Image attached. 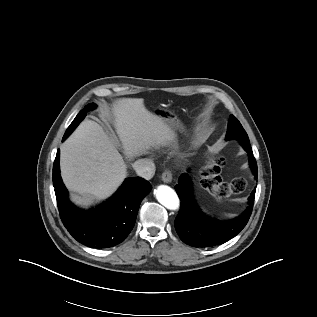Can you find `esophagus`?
Instances as JSON below:
<instances>
[{
  "label": "esophagus",
  "instance_id": "obj_1",
  "mask_svg": "<svg viewBox=\"0 0 317 317\" xmlns=\"http://www.w3.org/2000/svg\"><path fill=\"white\" fill-rule=\"evenodd\" d=\"M161 179H162V181H163L164 183H167V184L171 183V181H172V174H171V172H170V171H165V172H163V173H162V176H161Z\"/></svg>",
  "mask_w": 317,
  "mask_h": 317
}]
</instances>
